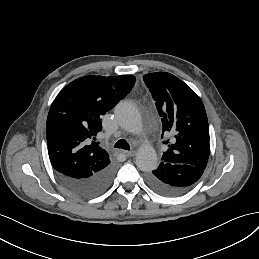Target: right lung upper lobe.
Masks as SVG:
<instances>
[{
  "mask_svg": "<svg viewBox=\"0 0 259 259\" xmlns=\"http://www.w3.org/2000/svg\"><path fill=\"white\" fill-rule=\"evenodd\" d=\"M135 77L84 76L67 85L54 100L46 125L50 162L64 175L84 179L110 164L95 141L102 116L134 86Z\"/></svg>",
  "mask_w": 259,
  "mask_h": 259,
  "instance_id": "cb5924a9",
  "label": "right lung upper lobe"
}]
</instances>
